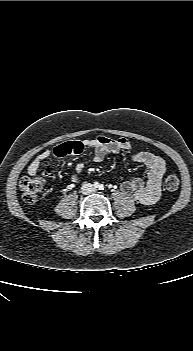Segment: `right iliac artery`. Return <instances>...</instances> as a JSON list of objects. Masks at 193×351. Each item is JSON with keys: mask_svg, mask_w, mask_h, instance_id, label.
I'll use <instances>...</instances> for the list:
<instances>
[{"mask_svg": "<svg viewBox=\"0 0 193 351\" xmlns=\"http://www.w3.org/2000/svg\"><path fill=\"white\" fill-rule=\"evenodd\" d=\"M93 186H94L95 188H98V187H99V183H98V182H95V183L93 184Z\"/></svg>", "mask_w": 193, "mask_h": 351, "instance_id": "obj_1", "label": "right iliac artery"}]
</instances>
